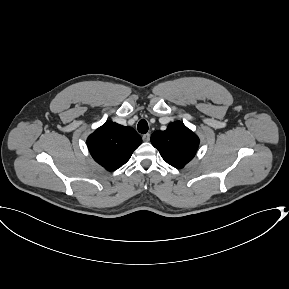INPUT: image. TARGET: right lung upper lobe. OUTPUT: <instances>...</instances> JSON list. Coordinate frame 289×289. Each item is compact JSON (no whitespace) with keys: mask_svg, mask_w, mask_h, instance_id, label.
<instances>
[{"mask_svg":"<svg viewBox=\"0 0 289 289\" xmlns=\"http://www.w3.org/2000/svg\"><path fill=\"white\" fill-rule=\"evenodd\" d=\"M141 143V137L133 128L114 122H106L87 139L93 159L108 171L124 165Z\"/></svg>","mask_w":289,"mask_h":289,"instance_id":"obj_1","label":"right lung upper lobe"}]
</instances>
